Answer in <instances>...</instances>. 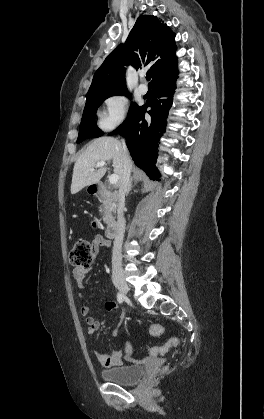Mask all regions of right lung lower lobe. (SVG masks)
I'll return each mask as SVG.
<instances>
[{"label": "right lung lower lobe", "instance_id": "1", "mask_svg": "<svg viewBox=\"0 0 264 419\" xmlns=\"http://www.w3.org/2000/svg\"><path fill=\"white\" fill-rule=\"evenodd\" d=\"M177 74L178 72L165 74L152 83L155 100L149 105L150 120L144 119L147 105L140 106L110 133V135L120 134L126 138V144L135 164L151 178L160 176L155 168V161L158 143L165 132L167 114L172 105Z\"/></svg>", "mask_w": 264, "mask_h": 419}]
</instances>
